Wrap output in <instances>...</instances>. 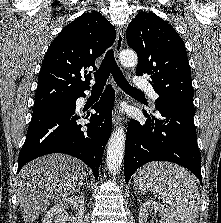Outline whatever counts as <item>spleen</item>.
<instances>
[{
  "label": "spleen",
  "mask_w": 221,
  "mask_h": 223,
  "mask_svg": "<svg viewBox=\"0 0 221 223\" xmlns=\"http://www.w3.org/2000/svg\"><path fill=\"white\" fill-rule=\"evenodd\" d=\"M135 190L153 192L171 212L177 223H197L200 198L196 182L184 168L168 162H152L137 172Z\"/></svg>",
  "instance_id": "spleen-1"
}]
</instances>
